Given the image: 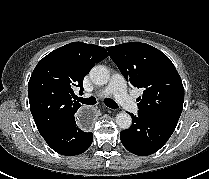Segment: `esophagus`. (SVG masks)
<instances>
[{
	"mask_svg": "<svg viewBox=\"0 0 209 179\" xmlns=\"http://www.w3.org/2000/svg\"><path fill=\"white\" fill-rule=\"evenodd\" d=\"M95 119L96 111L93 108L79 109L74 113L75 123L83 130H90Z\"/></svg>",
	"mask_w": 209,
	"mask_h": 179,
	"instance_id": "1",
	"label": "esophagus"
}]
</instances>
